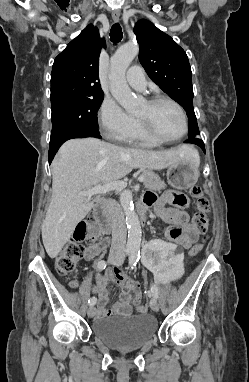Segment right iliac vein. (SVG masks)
<instances>
[{"mask_svg":"<svg viewBox=\"0 0 249 382\" xmlns=\"http://www.w3.org/2000/svg\"><path fill=\"white\" fill-rule=\"evenodd\" d=\"M109 263L111 264H116L117 262L120 261V257L118 256H110L109 259H108ZM96 313V308L94 307V305L90 306L87 310V315L89 318H92L94 317Z\"/></svg>","mask_w":249,"mask_h":382,"instance_id":"1","label":"right iliac vein"}]
</instances>
